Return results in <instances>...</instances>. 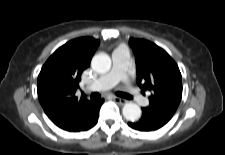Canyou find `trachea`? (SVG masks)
<instances>
[{
  "mask_svg": "<svg viewBox=\"0 0 225 155\" xmlns=\"http://www.w3.org/2000/svg\"><path fill=\"white\" fill-rule=\"evenodd\" d=\"M117 95H119V96H121V97H123V98H127V99H131L132 97L130 96V95H128V94H125V93H117ZM101 96H100V94L99 93H92L91 95H90V98L92 99V100H94V99H99Z\"/></svg>",
  "mask_w": 225,
  "mask_h": 155,
  "instance_id": "trachea-1",
  "label": "trachea"
}]
</instances>
